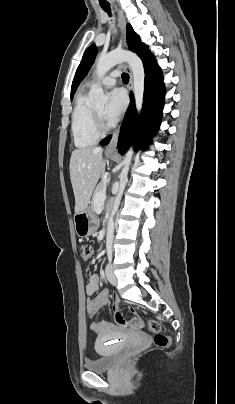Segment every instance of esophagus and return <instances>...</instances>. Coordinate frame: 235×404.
Returning <instances> with one entry per match:
<instances>
[{
    "label": "esophagus",
    "instance_id": "1",
    "mask_svg": "<svg viewBox=\"0 0 235 404\" xmlns=\"http://www.w3.org/2000/svg\"><path fill=\"white\" fill-rule=\"evenodd\" d=\"M115 8L118 13L120 36L123 41V44L126 45V19H125V16L123 15V13L116 6H115ZM125 69L130 73V80H129V84H128V89L130 91L133 86L132 75H131L130 68L127 64H125ZM120 129H121V127H118V129L113 133L112 139H111L110 143L108 144V146L106 147V150H105L106 154H114L116 152Z\"/></svg>",
    "mask_w": 235,
    "mask_h": 404
}]
</instances>
